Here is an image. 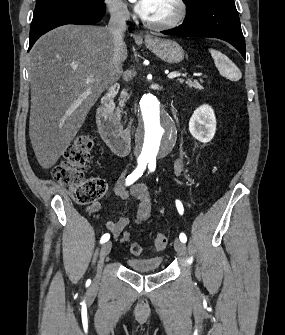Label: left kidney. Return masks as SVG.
Wrapping results in <instances>:
<instances>
[{"label":"left kidney","instance_id":"1","mask_svg":"<svg viewBox=\"0 0 285 335\" xmlns=\"http://www.w3.org/2000/svg\"><path fill=\"white\" fill-rule=\"evenodd\" d=\"M189 130L192 136L202 144L211 142L216 132V118L211 106L204 104L195 110L190 118Z\"/></svg>","mask_w":285,"mask_h":335}]
</instances>
